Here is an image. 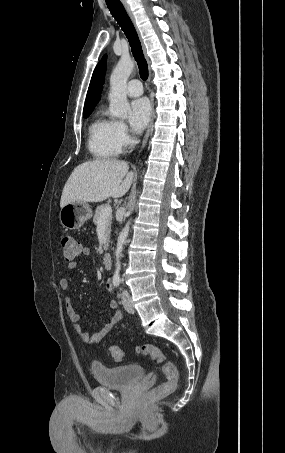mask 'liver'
Here are the masks:
<instances>
[{"mask_svg": "<svg viewBox=\"0 0 285 453\" xmlns=\"http://www.w3.org/2000/svg\"><path fill=\"white\" fill-rule=\"evenodd\" d=\"M133 178L134 173L129 172L125 161L99 159L82 163L68 178L60 207L78 201L101 202L109 197H122L130 189Z\"/></svg>", "mask_w": 285, "mask_h": 453, "instance_id": "6515ba94", "label": "liver"}]
</instances>
